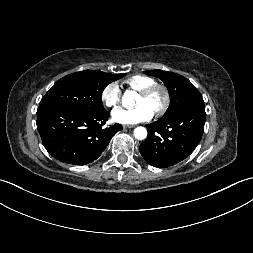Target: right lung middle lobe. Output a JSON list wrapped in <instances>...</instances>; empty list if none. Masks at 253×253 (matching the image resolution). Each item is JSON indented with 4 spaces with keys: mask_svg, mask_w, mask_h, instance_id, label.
Returning a JSON list of instances; mask_svg holds the SVG:
<instances>
[{
    "mask_svg": "<svg viewBox=\"0 0 253 253\" xmlns=\"http://www.w3.org/2000/svg\"><path fill=\"white\" fill-rule=\"evenodd\" d=\"M85 70L59 79L41 99L40 106L67 107L98 113L103 109L102 92L111 82L125 76Z\"/></svg>",
    "mask_w": 253,
    "mask_h": 253,
    "instance_id": "obj_1",
    "label": "right lung middle lobe"
}]
</instances>
